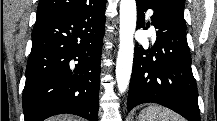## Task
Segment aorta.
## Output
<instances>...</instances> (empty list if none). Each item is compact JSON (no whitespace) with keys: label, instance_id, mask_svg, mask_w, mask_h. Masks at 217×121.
<instances>
[{"label":"aorta","instance_id":"1","mask_svg":"<svg viewBox=\"0 0 217 121\" xmlns=\"http://www.w3.org/2000/svg\"><path fill=\"white\" fill-rule=\"evenodd\" d=\"M136 1H120V45L116 62V81L120 93L128 88L133 66L134 43L136 29Z\"/></svg>","mask_w":217,"mask_h":121}]
</instances>
